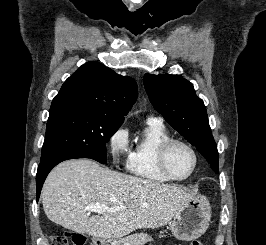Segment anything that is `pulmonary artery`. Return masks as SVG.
<instances>
[{
  "label": "pulmonary artery",
  "instance_id": "e3ab8cb5",
  "mask_svg": "<svg viewBox=\"0 0 266 245\" xmlns=\"http://www.w3.org/2000/svg\"><path fill=\"white\" fill-rule=\"evenodd\" d=\"M147 120H149V121H160V122H163V118L161 116L154 115V114H149L147 116Z\"/></svg>",
  "mask_w": 266,
  "mask_h": 245
}]
</instances>
